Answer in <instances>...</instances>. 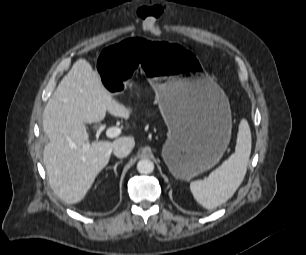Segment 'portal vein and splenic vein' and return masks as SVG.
Returning a JSON list of instances; mask_svg holds the SVG:
<instances>
[{"instance_id":"1","label":"portal vein and splenic vein","mask_w":306,"mask_h":255,"mask_svg":"<svg viewBox=\"0 0 306 255\" xmlns=\"http://www.w3.org/2000/svg\"><path fill=\"white\" fill-rule=\"evenodd\" d=\"M121 133V129L118 128V127H110L106 130L105 134L108 138H115L117 136H119ZM89 148V145L88 144H85L83 146V149L86 150Z\"/></svg>"}]
</instances>
